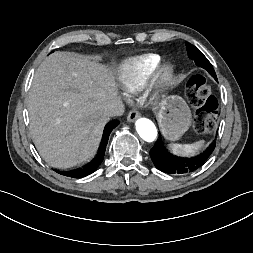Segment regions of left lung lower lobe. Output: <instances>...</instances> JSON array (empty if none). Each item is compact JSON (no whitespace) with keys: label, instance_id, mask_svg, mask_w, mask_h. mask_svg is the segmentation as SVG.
I'll list each match as a JSON object with an SVG mask.
<instances>
[{"label":"left lung lower lobe","instance_id":"left-lung-lower-lobe-1","mask_svg":"<svg viewBox=\"0 0 253 253\" xmlns=\"http://www.w3.org/2000/svg\"><path fill=\"white\" fill-rule=\"evenodd\" d=\"M195 63L199 67L201 66L206 69L210 73V75L217 81L215 71L209 61H197ZM215 146L216 142L214 141L203 153L195 157L183 158L174 156L170 152H168L160 138L150 150V156L155 167L167 174H189L191 172L196 171L202 164H204L208 160L209 156L215 149Z\"/></svg>","mask_w":253,"mask_h":253}]
</instances>
